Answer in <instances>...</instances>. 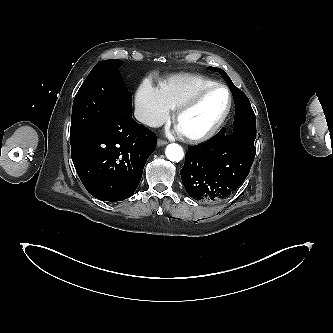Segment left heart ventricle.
<instances>
[{
	"label": "left heart ventricle",
	"instance_id": "left-heart-ventricle-1",
	"mask_svg": "<svg viewBox=\"0 0 333 333\" xmlns=\"http://www.w3.org/2000/svg\"><path fill=\"white\" fill-rule=\"evenodd\" d=\"M227 103L228 96L224 89L218 88L209 92L194 108L181 117L178 129L187 134L206 131L220 118Z\"/></svg>",
	"mask_w": 333,
	"mask_h": 333
}]
</instances>
